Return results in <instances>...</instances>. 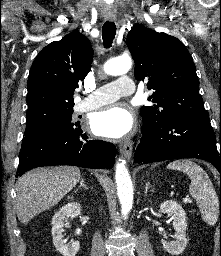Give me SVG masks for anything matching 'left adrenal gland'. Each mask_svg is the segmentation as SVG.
Instances as JSON below:
<instances>
[{
  "label": "left adrenal gland",
  "instance_id": "left-adrenal-gland-1",
  "mask_svg": "<svg viewBox=\"0 0 221 256\" xmlns=\"http://www.w3.org/2000/svg\"><path fill=\"white\" fill-rule=\"evenodd\" d=\"M152 188V186L150 185V182H146V186H145V195H147L148 190Z\"/></svg>",
  "mask_w": 221,
  "mask_h": 256
}]
</instances>
